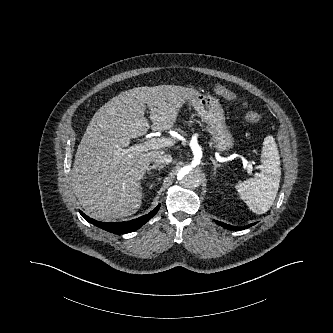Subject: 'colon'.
<instances>
[{
	"instance_id": "obj_1",
	"label": "colon",
	"mask_w": 333,
	"mask_h": 333,
	"mask_svg": "<svg viewBox=\"0 0 333 333\" xmlns=\"http://www.w3.org/2000/svg\"><path fill=\"white\" fill-rule=\"evenodd\" d=\"M214 91L216 94L223 97L224 99L233 101V102H239L242 107H244V108L246 107L245 103L239 99L238 95L235 92L231 91L230 89H228L224 86H221V85H216L214 87ZM245 118L247 121H249L251 123H257L261 120V115L259 113H257L256 111H253L251 109H246Z\"/></svg>"
}]
</instances>
